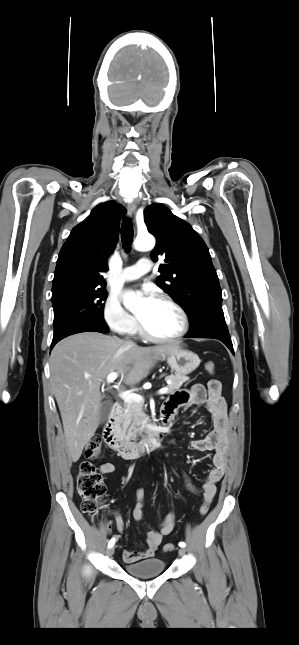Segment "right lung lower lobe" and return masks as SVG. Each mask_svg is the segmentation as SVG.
<instances>
[{
  "mask_svg": "<svg viewBox=\"0 0 299 645\" xmlns=\"http://www.w3.org/2000/svg\"><path fill=\"white\" fill-rule=\"evenodd\" d=\"M100 332V333H107L108 328L107 326H102V325H97L94 323H82L79 325H76L74 327L69 328L68 330L62 332L60 335L53 337L52 344H51V349L55 346L57 342H59L61 339L72 335L76 333H81V332Z\"/></svg>",
  "mask_w": 299,
  "mask_h": 645,
  "instance_id": "1",
  "label": "right lung lower lobe"
}]
</instances>
